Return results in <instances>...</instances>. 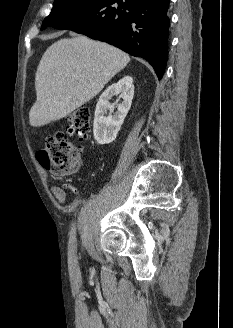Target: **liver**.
<instances>
[{
  "label": "liver",
  "mask_w": 233,
  "mask_h": 328,
  "mask_svg": "<svg viewBox=\"0 0 233 328\" xmlns=\"http://www.w3.org/2000/svg\"><path fill=\"white\" fill-rule=\"evenodd\" d=\"M130 57L107 43L83 35L61 39L43 54L35 74L33 127L62 119L94 98Z\"/></svg>",
  "instance_id": "obj_1"
}]
</instances>
